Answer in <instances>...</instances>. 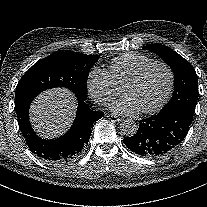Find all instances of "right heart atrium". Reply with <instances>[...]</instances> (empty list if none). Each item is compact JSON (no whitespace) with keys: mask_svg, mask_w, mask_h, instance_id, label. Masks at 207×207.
<instances>
[{"mask_svg":"<svg viewBox=\"0 0 207 207\" xmlns=\"http://www.w3.org/2000/svg\"><path fill=\"white\" fill-rule=\"evenodd\" d=\"M86 87L98 105L107 106L118 95L117 87L112 83L108 73L98 67L89 71Z\"/></svg>","mask_w":207,"mask_h":207,"instance_id":"right-heart-atrium-1","label":"right heart atrium"}]
</instances>
